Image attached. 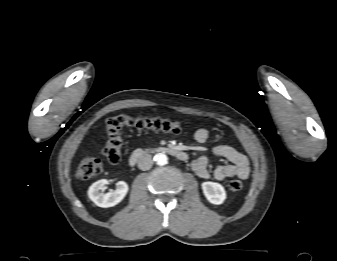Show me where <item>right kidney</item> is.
Returning <instances> with one entry per match:
<instances>
[{
  "instance_id": "1",
  "label": "right kidney",
  "mask_w": 337,
  "mask_h": 261,
  "mask_svg": "<svg viewBox=\"0 0 337 261\" xmlns=\"http://www.w3.org/2000/svg\"><path fill=\"white\" fill-rule=\"evenodd\" d=\"M109 182L106 179H101L93 183L88 190L89 198L99 207L108 208L115 206L121 202L128 192V185L123 181L116 184L114 192L103 194L100 192Z\"/></svg>"
}]
</instances>
